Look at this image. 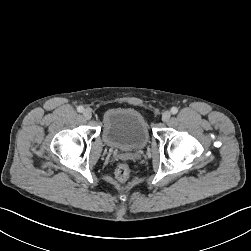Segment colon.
<instances>
[{
	"label": "colon",
	"mask_w": 251,
	"mask_h": 251,
	"mask_svg": "<svg viewBox=\"0 0 251 251\" xmlns=\"http://www.w3.org/2000/svg\"><path fill=\"white\" fill-rule=\"evenodd\" d=\"M115 176L121 182L127 181L130 177L129 166L127 164H119L115 169Z\"/></svg>",
	"instance_id": "colon-1"
}]
</instances>
